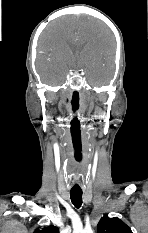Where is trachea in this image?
Masks as SVG:
<instances>
[{"instance_id":"3493384b","label":"trachea","mask_w":148,"mask_h":233,"mask_svg":"<svg viewBox=\"0 0 148 233\" xmlns=\"http://www.w3.org/2000/svg\"><path fill=\"white\" fill-rule=\"evenodd\" d=\"M70 198L72 204L76 208H80L82 205V191H70Z\"/></svg>"}]
</instances>
